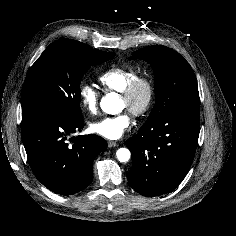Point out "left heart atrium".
I'll list each match as a JSON object with an SVG mask.
<instances>
[{
    "label": "left heart atrium",
    "mask_w": 236,
    "mask_h": 236,
    "mask_svg": "<svg viewBox=\"0 0 236 236\" xmlns=\"http://www.w3.org/2000/svg\"><path fill=\"white\" fill-rule=\"evenodd\" d=\"M131 117L124 112L116 116L106 117L91 124L92 130L108 139H119L130 127Z\"/></svg>",
    "instance_id": "1"
}]
</instances>
